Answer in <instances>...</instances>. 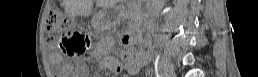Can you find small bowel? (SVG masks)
Here are the masks:
<instances>
[{
	"label": "small bowel",
	"instance_id": "c3829d8e",
	"mask_svg": "<svg viewBox=\"0 0 258 77\" xmlns=\"http://www.w3.org/2000/svg\"><path fill=\"white\" fill-rule=\"evenodd\" d=\"M96 53H98V51H96ZM150 59V54L146 52L137 54L125 53L123 64L121 61H116L115 59L112 60V69L115 72H120V67H124L127 72L136 73L142 67H145L149 63Z\"/></svg>",
	"mask_w": 258,
	"mask_h": 77
}]
</instances>
